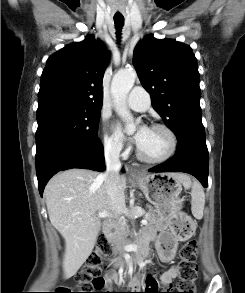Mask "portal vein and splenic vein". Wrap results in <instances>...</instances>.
<instances>
[{"label": "portal vein and splenic vein", "mask_w": 245, "mask_h": 293, "mask_svg": "<svg viewBox=\"0 0 245 293\" xmlns=\"http://www.w3.org/2000/svg\"><path fill=\"white\" fill-rule=\"evenodd\" d=\"M98 217H101V218L109 217V212H107V211L99 212V213H98ZM141 223H142L143 225H147L148 221H147L146 219H143V220L141 221Z\"/></svg>", "instance_id": "portal-vein-and-splenic-vein-1"}]
</instances>
